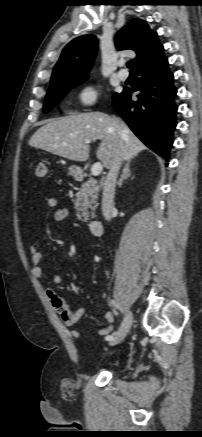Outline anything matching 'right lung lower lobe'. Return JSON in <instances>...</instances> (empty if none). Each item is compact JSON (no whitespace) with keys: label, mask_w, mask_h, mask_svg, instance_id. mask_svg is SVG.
<instances>
[{"label":"right lung lower lobe","mask_w":202,"mask_h":437,"mask_svg":"<svg viewBox=\"0 0 202 437\" xmlns=\"http://www.w3.org/2000/svg\"><path fill=\"white\" fill-rule=\"evenodd\" d=\"M138 100L131 99L129 89L115 94L113 107L135 135L151 150L169 160L173 132L177 125V89L173 73L164 56L136 68Z\"/></svg>","instance_id":"98d812e1"}]
</instances>
